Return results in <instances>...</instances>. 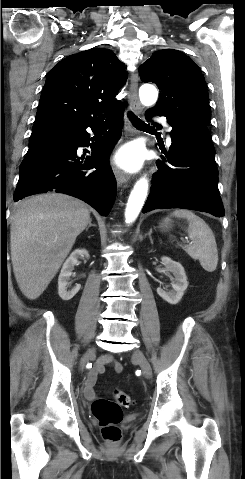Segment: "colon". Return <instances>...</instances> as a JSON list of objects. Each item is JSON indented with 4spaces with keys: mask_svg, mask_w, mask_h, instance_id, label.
Returning <instances> with one entry per match:
<instances>
[{
    "mask_svg": "<svg viewBox=\"0 0 245 479\" xmlns=\"http://www.w3.org/2000/svg\"><path fill=\"white\" fill-rule=\"evenodd\" d=\"M130 395L122 390L115 389L112 398H97L92 404V413L98 421L103 438L115 444L120 440L121 430L119 428L123 419L124 407L131 405Z\"/></svg>",
    "mask_w": 245,
    "mask_h": 479,
    "instance_id": "colon-1",
    "label": "colon"
}]
</instances>
